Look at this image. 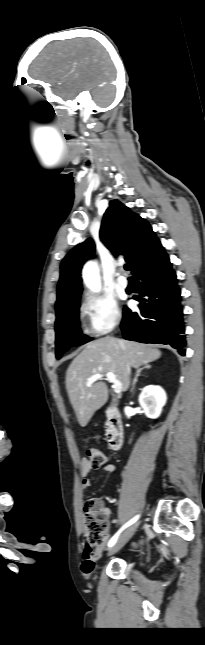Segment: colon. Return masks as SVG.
<instances>
[{
    "mask_svg": "<svg viewBox=\"0 0 205 645\" xmlns=\"http://www.w3.org/2000/svg\"><path fill=\"white\" fill-rule=\"evenodd\" d=\"M86 458L89 463L98 468L107 462V455L96 447L86 449ZM83 524L85 527V545L92 550L101 547L109 535V524L105 515L103 503L98 498L85 501L83 505Z\"/></svg>",
    "mask_w": 205,
    "mask_h": 645,
    "instance_id": "5ec220e1",
    "label": "colon"
}]
</instances>
